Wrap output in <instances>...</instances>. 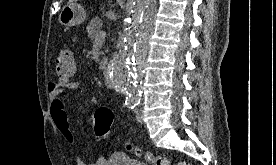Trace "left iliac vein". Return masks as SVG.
<instances>
[{"mask_svg": "<svg viewBox=\"0 0 276 165\" xmlns=\"http://www.w3.org/2000/svg\"><path fill=\"white\" fill-rule=\"evenodd\" d=\"M136 119H137V121L139 122V123H143V112H142V110H138L137 112H136Z\"/></svg>", "mask_w": 276, "mask_h": 165, "instance_id": "obj_1", "label": "left iliac vein"}]
</instances>
